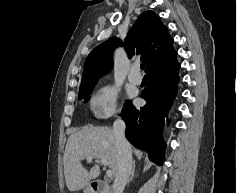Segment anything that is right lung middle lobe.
<instances>
[{"instance_id": "1", "label": "right lung middle lobe", "mask_w": 237, "mask_h": 193, "mask_svg": "<svg viewBox=\"0 0 237 193\" xmlns=\"http://www.w3.org/2000/svg\"><path fill=\"white\" fill-rule=\"evenodd\" d=\"M93 88H94V85L84 88V89H80L79 90V99L84 98L85 101H87L90 98V93L92 92Z\"/></svg>"}]
</instances>
